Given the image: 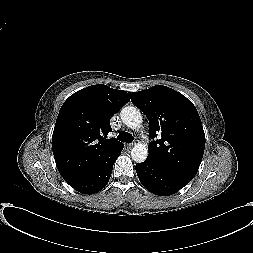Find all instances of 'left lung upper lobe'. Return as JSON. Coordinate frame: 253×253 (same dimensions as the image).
Instances as JSON below:
<instances>
[{
	"label": "left lung upper lobe",
	"mask_w": 253,
	"mask_h": 253,
	"mask_svg": "<svg viewBox=\"0 0 253 253\" xmlns=\"http://www.w3.org/2000/svg\"><path fill=\"white\" fill-rule=\"evenodd\" d=\"M129 95L149 120V136L160 135L148 146L147 159L191 181L199 169L205 148L204 130L193 103L162 85Z\"/></svg>",
	"instance_id": "1"
}]
</instances>
